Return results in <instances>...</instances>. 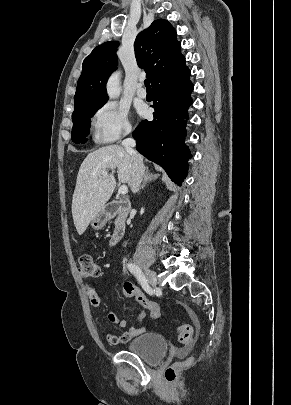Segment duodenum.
Segmentation results:
<instances>
[{
  "label": "duodenum",
  "instance_id": "duodenum-1",
  "mask_svg": "<svg viewBox=\"0 0 291 405\" xmlns=\"http://www.w3.org/2000/svg\"><path fill=\"white\" fill-rule=\"evenodd\" d=\"M130 210L131 204L126 199L111 201L104 207V216L115 219L114 229L110 237L111 245H116L123 238L126 230V218Z\"/></svg>",
  "mask_w": 291,
  "mask_h": 405
}]
</instances>
